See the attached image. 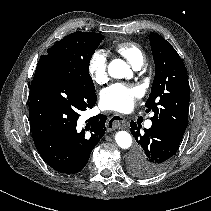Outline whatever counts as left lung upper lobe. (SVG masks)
<instances>
[{
	"label": "left lung upper lobe",
	"instance_id": "5c2ea615",
	"mask_svg": "<svg viewBox=\"0 0 211 211\" xmlns=\"http://www.w3.org/2000/svg\"><path fill=\"white\" fill-rule=\"evenodd\" d=\"M155 77L145 104L154 112L152 123L182 138L188 124L190 90L187 70L172 45L157 33H150Z\"/></svg>",
	"mask_w": 211,
	"mask_h": 211
}]
</instances>
